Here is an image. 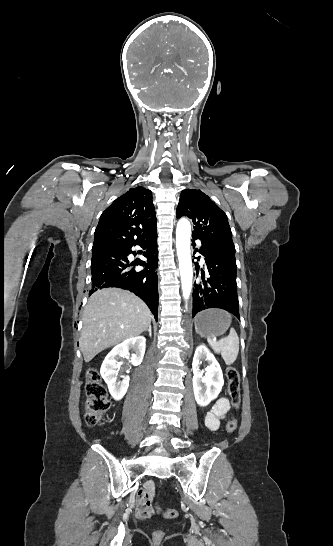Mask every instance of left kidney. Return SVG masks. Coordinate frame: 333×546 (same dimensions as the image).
<instances>
[{
  "label": "left kidney",
  "mask_w": 333,
  "mask_h": 546,
  "mask_svg": "<svg viewBox=\"0 0 333 546\" xmlns=\"http://www.w3.org/2000/svg\"><path fill=\"white\" fill-rule=\"evenodd\" d=\"M202 359L208 364L205 368V376H203L204 371L200 370ZM192 369L196 402L200 406H206L218 396L224 384L221 367L214 355L202 344L195 350Z\"/></svg>",
  "instance_id": "left-kidney-1"
}]
</instances>
